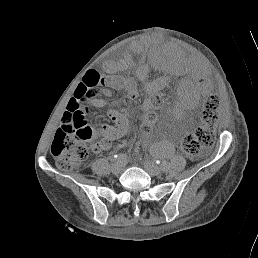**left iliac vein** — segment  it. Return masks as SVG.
<instances>
[{"label":"left iliac vein","instance_id":"4c4485c4","mask_svg":"<svg viewBox=\"0 0 258 258\" xmlns=\"http://www.w3.org/2000/svg\"><path fill=\"white\" fill-rule=\"evenodd\" d=\"M143 167L146 172L151 176H158L161 174V168L151 161H144Z\"/></svg>","mask_w":258,"mask_h":258}]
</instances>
